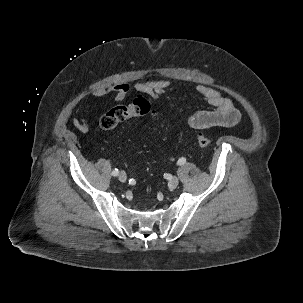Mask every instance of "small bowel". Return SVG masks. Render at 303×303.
<instances>
[{
	"instance_id": "obj_1",
	"label": "small bowel",
	"mask_w": 303,
	"mask_h": 303,
	"mask_svg": "<svg viewBox=\"0 0 303 303\" xmlns=\"http://www.w3.org/2000/svg\"><path fill=\"white\" fill-rule=\"evenodd\" d=\"M134 88L140 93L157 98L170 91L171 85L169 80L159 79L138 82L134 85ZM130 89L131 86L129 84L121 82L110 88L97 90L94 95L97 98L112 95L115 101H122ZM196 90L213 108L211 110L198 111L191 115L187 119V124L190 128L233 127L239 123L240 113L230 98L223 96L220 91L208 86L200 85ZM87 108L88 105L80 106L77 112L83 113ZM73 126L81 133H86L89 130L88 123L82 115L73 119Z\"/></svg>"
}]
</instances>
